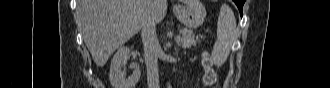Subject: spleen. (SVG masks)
<instances>
[{
    "mask_svg": "<svg viewBox=\"0 0 330 88\" xmlns=\"http://www.w3.org/2000/svg\"><path fill=\"white\" fill-rule=\"evenodd\" d=\"M238 39L236 19L232 9L223 4L217 22V41L212 51V61L221 66L227 60L233 43Z\"/></svg>",
    "mask_w": 330,
    "mask_h": 88,
    "instance_id": "1",
    "label": "spleen"
}]
</instances>
